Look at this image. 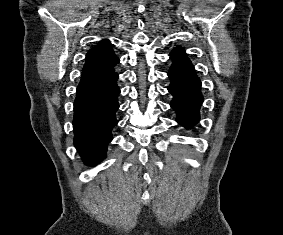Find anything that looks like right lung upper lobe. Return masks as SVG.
Wrapping results in <instances>:
<instances>
[{
  "label": "right lung upper lobe",
  "mask_w": 283,
  "mask_h": 235,
  "mask_svg": "<svg viewBox=\"0 0 283 235\" xmlns=\"http://www.w3.org/2000/svg\"><path fill=\"white\" fill-rule=\"evenodd\" d=\"M119 63L108 40H103L86 54V63L81 81L108 74Z\"/></svg>",
  "instance_id": "obj_1"
}]
</instances>
